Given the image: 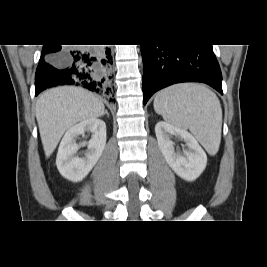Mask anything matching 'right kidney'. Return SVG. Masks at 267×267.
Masks as SVG:
<instances>
[{
	"mask_svg": "<svg viewBox=\"0 0 267 267\" xmlns=\"http://www.w3.org/2000/svg\"><path fill=\"white\" fill-rule=\"evenodd\" d=\"M92 132L89 142L77 144L76 138ZM106 144V124L103 120L91 118L71 127L64 135L56 157L60 174L73 182L81 181L97 163ZM81 146H87L85 157L75 156Z\"/></svg>",
	"mask_w": 267,
	"mask_h": 267,
	"instance_id": "ca27d5eb",
	"label": "right kidney"
}]
</instances>
